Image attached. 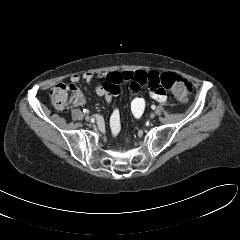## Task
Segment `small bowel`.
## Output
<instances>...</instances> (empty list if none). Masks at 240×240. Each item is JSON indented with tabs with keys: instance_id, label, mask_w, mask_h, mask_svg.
I'll return each mask as SVG.
<instances>
[{
	"instance_id": "c3829d8e",
	"label": "small bowel",
	"mask_w": 240,
	"mask_h": 240,
	"mask_svg": "<svg viewBox=\"0 0 240 240\" xmlns=\"http://www.w3.org/2000/svg\"><path fill=\"white\" fill-rule=\"evenodd\" d=\"M96 77L103 78L104 82L102 85L96 87L95 92L98 96L103 97L107 103H110L113 97L120 93V85H127L129 92L135 95L131 102V111L137 119L142 117L146 107L145 99L138 95L141 90L147 91L157 102L162 104L167 103V94L161 84V76L157 71L110 72ZM81 78L90 83L94 80L95 75L91 72H85L82 75L72 74L69 77L73 83L80 81ZM84 102L85 100L81 93L72 101L75 106H82ZM96 119L100 128H102L103 119L100 116H97ZM110 124L112 131L117 133L120 128V112L118 109L112 112Z\"/></svg>"
}]
</instances>
